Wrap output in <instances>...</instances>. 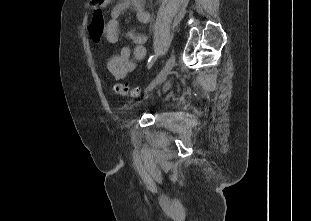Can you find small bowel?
Instances as JSON below:
<instances>
[{
	"label": "small bowel",
	"instance_id": "1",
	"mask_svg": "<svg viewBox=\"0 0 311 221\" xmlns=\"http://www.w3.org/2000/svg\"><path fill=\"white\" fill-rule=\"evenodd\" d=\"M128 9L135 12L136 20L141 24L150 22V14L144 9L143 0H122L111 10L110 19L106 25L105 37L108 42L116 43L119 38V18ZM128 37L135 43L133 51L129 46H124L118 54L110 57L107 68L116 78L122 79L136 68L138 61L146 56L144 46L146 37L142 33L131 31Z\"/></svg>",
	"mask_w": 311,
	"mask_h": 221
}]
</instances>
